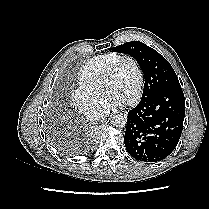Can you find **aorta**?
Here are the masks:
<instances>
[{
  "label": "aorta",
  "mask_w": 209,
  "mask_h": 209,
  "mask_svg": "<svg viewBox=\"0 0 209 209\" xmlns=\"http://www.w3.org/2000/svg\"><path fill=\"white\" fill-rule=\"evenodd\" d=\"M126 121H127V119L124 115L116 114L111 118L110 123L112 126H114L116 128H122L125 126Z\"/></svg>",
  "instance_id": "aorta-1"
}]
</instances>
